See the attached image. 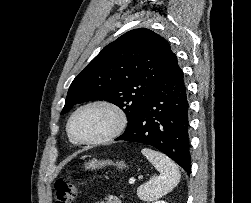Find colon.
<instances>
[{"instance_id": "1", "label": "colon", "mask_w": 251, "mask_h": 203, "mask_svg": "<svg viewBox=\"0 0 251 203\" xmlns=\"http://www.w3.org/2000/svg\"><path fill=\"white\" fill-rule=\"evenodd\" d=\"M77 187L70 179H59L55 183V203H73Z\"/></svg>"}]
</instances>
